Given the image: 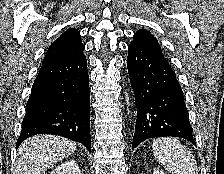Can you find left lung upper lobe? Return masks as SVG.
<instances>
[{
    "instance_id": "1",
    "label": "left lung upper lobe",
    "mask_w": 224,
    "mask_h": 174,
    "mask_svg": "<svg viewBox=\"0 0 224 174\" xmlns=\"http://www.w3.org/2000/svg\"><path fill=\"white\" fill-rule=\"evenodd\" d=\"M132 46H140V47H159V44L156 38L150 34L148 31L140 29L135 35L133 41L129 44Z\"/></svg>"
}]
</instances>
